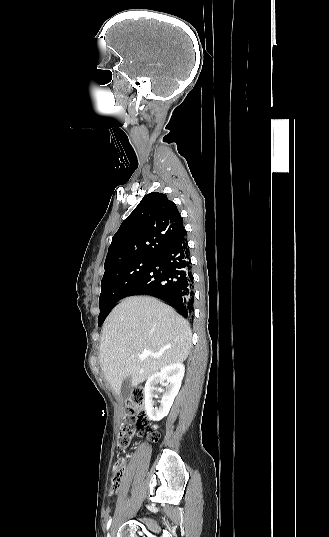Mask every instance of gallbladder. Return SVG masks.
<instances>
[{
	"label": "gallbladder",
	"instance_id": "gallbladder-1",
	"mask_svg": "<svg viewBox=\"0 0 329 537\" xmlns=\"http://www.w3.org/2000/svg\"><path fill=\"white\" fill-rule=\"evenodd\" d=\"M132 390H133V386L131 383V377H128L124 379L121 384L120 395L123 398H126L131 394Z\"/></svg>",
	"mask_w": 329,
	"mask_h": 537
}]
</instances>
